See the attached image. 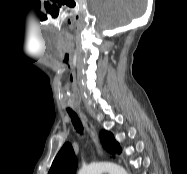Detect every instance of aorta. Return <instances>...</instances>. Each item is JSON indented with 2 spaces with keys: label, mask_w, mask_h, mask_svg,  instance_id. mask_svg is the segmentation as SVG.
<instances>
[{
  "label": "aorta",
  "mask_w": 187,
  "mask_h": 174,
  "mask_svg": "<svg viewBox=\"0 0 187 174\" xmlns=\"http://www.w3.org/2000/svg\"><path fill=\"white\" fill-rule=\"evenodd\" d=\"M127 174L126 170L115 163H92L83 167L78 174Z\"/></svg>",
  "instance_id": "obj_1"
}]
</instances>
